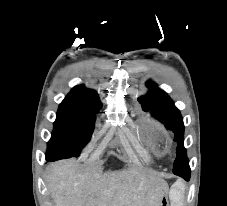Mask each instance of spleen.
<instances>
[{"instance_id":"spleen-1","label":"spleen","mask_w":227,"mask_h":206,"mask_svg":"<svg viewBox=\"0 0 227 206\" xmlns=\"http://www.w3.org/2000/svg\"><path fill=\"white\" fill-rule=\"evenodd\" d=\"M170 198L172 200V203L175 206H182L183 205V193L178 186H175L170 191Z\"/></svg>"}]
</instances>
